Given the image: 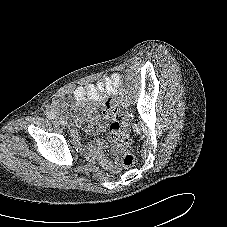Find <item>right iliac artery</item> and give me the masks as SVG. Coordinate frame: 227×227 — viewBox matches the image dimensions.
<instances>
[{
  "instance_id": "obj_1",
  "label": "right iliac artery",
  "mask_w": 227,
  "mask_h": 227,
  "mask_svg": "<svg viewBox=\"0 0 227 227\" xmlns=\"http://www.w3.org/2000/svg\"><path fill=\"white\" fill-rule=\"evenodd\" d=\"M47 118L54 119L55 118V114L54 113H48L47 114Z\"/></svg>"
}]
</instances>
